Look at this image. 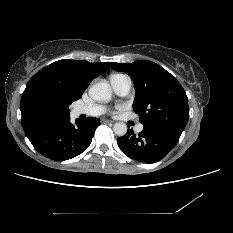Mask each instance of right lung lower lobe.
<instances>
[{
    "label": "right lung lower lobe",
    "mask_w": 233,
    "mask_h": 233,
    "mask_svg": "<svg viewBox=\"0 0 233 233\" xmlns=\"http://www.w3.org/2000/svg\"><path fill=\"white\" fill-rule=\"evenodd\" d=\"M75 123L71 124L68 119L30 139V142L40 154L49 159L63 161L74 158L89 147L100 121L89 117L84 121L76 119Z\"/></svg>",
    "instance_id": "right-lung-lower-lobe-1"
}]
</instances>
